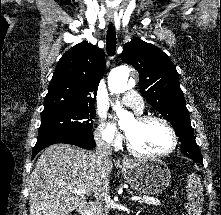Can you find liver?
<instances>
[{"label": "liver", "instance_id": "1", "mask_svg": "<svg viewBox=\"0 0 221 215\" xmlns=\"http://www.w3.org/2000/svg\"><path fill=\"white\" fill-rule=\"evenodd\" d=\"M110 158L101 168L97 155L69 144H54L44 150L29 179L30 215H68L86 202L102 174L108 179ZM75 189H85L77 194Z\"/></svg>", "mask_w": 221, "mask_h": 215}]
</instances>
